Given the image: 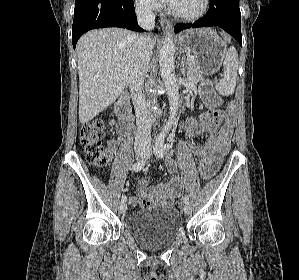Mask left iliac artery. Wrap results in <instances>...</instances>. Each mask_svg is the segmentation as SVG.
Instances as JSON below:
<instances>
[{
  "label": "left iliac artery",
  "mask_w": 299,
  "mask_h": 280,
  "mask_svg": "<svg viewBox=\"0 0 299 280\" xmlns=\"http://www.w3.org/2000/svg\"><path fill=\"white\" fill-rule=\"evenodd\" d=\"M168 148V146H166L164 144V140L163 139H159L156 141V144H155V147H154V153L157 157L159 158H163L164 156V150ZM184 202L186 204H189V197L188 196H185L184 197Z\"/></svg>",
  "instance_id": "left-iliac-artery-1"
}]
</instances>
